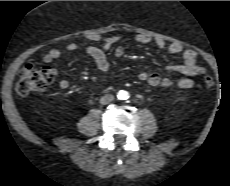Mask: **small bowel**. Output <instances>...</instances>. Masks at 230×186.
I'll use <instances>...</instances> for the list:
<instances>
[{"mask_svg":"<svg viewBox=\"0 0 230 186\" xmlns=\"http://www.w3.org/2000/svg\"><path fill=\"white\" fill-rule=\"evenodd\" d=\"M90 42H100L102 47L95 45H87L85 47L89 56L94 60L97 68L106 73L109 71L110 65L105 54V50L111 49L114 44L117 42L118 37H102L100 35H90L87 37ZM137 42L141 44H150L152 39L148 36L138 35L136 38ZM156 46L159 49H164L166 44L163 40L159 39L156 41ZM81 45L76 43H69L66 45L68 51H75L79 49ZM168 52L172 55H181L182 63L178 65H169L165 67V71L169 73L181 74L184 77L177 82V86L181 89H190L193 87L194 82L191 79L192 76L198 75V73L206 72V68L198 64V53L193 49H185L182 44L175 42L169 45ZM125 53V50L122 46H118L114 50L116 57H122ZM64 56V53L59 49L49 50L43 57V61L46 63H51L56 60L61 59ZM138 79L142 82H147L152 87H169L172 82L166 77L162 76L156 72H146L141 71L138 74ZM61 89H68L70 83L68 80L62 79L58 83Z\"/></svg>","mask_w":230,"mask_h":186,"instance_id":"1","label":"small bowel"}]
</instances>
